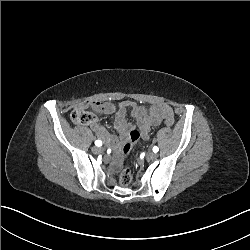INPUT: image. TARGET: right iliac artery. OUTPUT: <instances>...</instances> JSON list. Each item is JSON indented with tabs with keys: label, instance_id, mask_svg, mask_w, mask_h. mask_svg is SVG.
<instances>
[{
	"label": "right iliac artery",
	"instance_id": "82829eb1",
	"mask_svg": "<svg viewBox=\"0 0 250 250\" xmlns=\"http://www.w3.org/2000/svg\"><path fill=\"white\" fill-rule=\"evenodd\" d=\"M95 145L98 146V147L102 146V141L96 140Z\"/></svg>",
	"mask_w": 250,
	"mask_h": 250
}]
</instances>
